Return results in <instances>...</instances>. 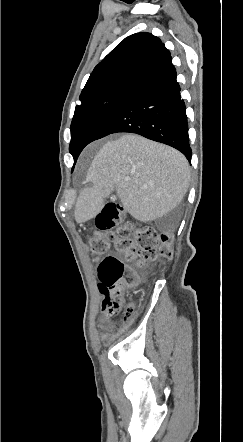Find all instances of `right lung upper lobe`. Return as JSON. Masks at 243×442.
<instances>
[{
    "mask_svg": "<svg viewBox=\"0 0 243 442\" xmlns=\"http://www.w3.org/2000/svg\"><path fill=\"white\" fill-rule=\"evenodd\" d=\"M171 65L170 52L158 37L144 32L130 35L94 68L79 99L132 91Z\"/></svg>",
    "mask_w": 243,
    "mask_h": 442,
    "instance_id": "1",
    "label": "right lung upper lobe"
}]
</instances>
